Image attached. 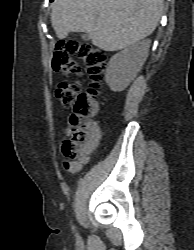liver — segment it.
Listing matches in <instances>:
<instances>
[{"instance_id": "6515ba94", "label": "liver", "mask_w": 194, "mask_h": 250, "mask_svg": "<svg viewBox=\"0 0 194 250\" xmlns=\"http://www.w3.org/2000/svg\"><path fill=\"white\" fill-rule=\"evenodd\" d=\"M162 8L163 0H54L51 23L59 39L85 32L98 48L118 51L149 36Z\"/></svg>"}]
</instances>
